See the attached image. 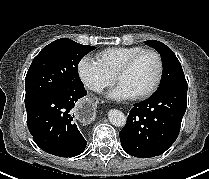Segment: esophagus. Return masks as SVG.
I'll list each match as a JSON object with an SVG mask.
<instances>
[{"label": "esophagus", "mask_w": 209, "mask_h": 179, "mask_svg": "<svg viewBox=\"0 0 209 179\" xmlns=\"http://www.w3.org/2000/svg\"><path fill=\"white\" fill-rule=\"evenodd\" d=\"M94 105L89 101H78L72 109L73 117L81 123L91 121L95 116Z\"/></svg>", "instance_id": "esophagus-1"}]
</instances>
